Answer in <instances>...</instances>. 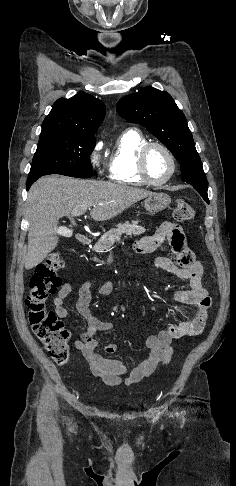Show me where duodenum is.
Wrapping results in <instances>:
<instances>
[{
  "instance_id": "410a0bca",
  "label": "duodenum",
  "mask_w": 236,
  "mask_h": 486,
  "mask_svg": "<svg viewBox=\"0 0 236 486\" xmlns=\"http://www.w3.org/2000/svg\"><path fill=\"white\" fill-rule=\"evenodd\" d=\"M76 239L81 244H88L90 242V239L85 234H83V233H77L76 234Z\"/></svg>"
}]
</instances>
